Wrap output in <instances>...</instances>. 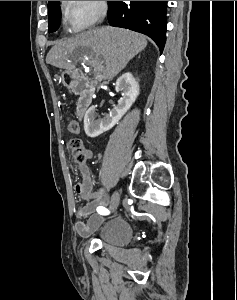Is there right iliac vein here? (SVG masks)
Wrapping results in <instances>:
<instances>
[{"label": "right iliac vein", "mask_w": 237, "mask_h": 300, "mask_svg": "<svg viewBox=\"0 0 237 300\" xmlns=\"http://www.w3.org/2000/svg\"><path fill=\"white\" fill-rule=\"evenodd\" d=\"M119 200H120L119 194L118 192H115L109 204L110 211H114L117 208V206L119 205Z\"/></svg>", "instance_id": "1"}]
</instances>
